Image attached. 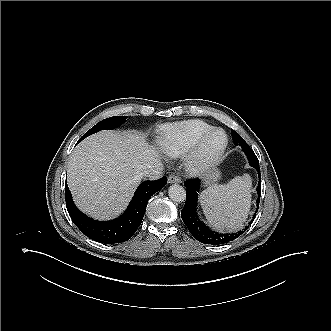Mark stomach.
<instances>
[{
  "instance_id": "1",
  "label": "stomach",
  "mask_w": 331,
  "mask_h": 331,
  "mask_svg": "<svg viewBox=\"0 0 331 331\" xmlns=\"http://www.w3.org/2000/svg\"><path fill=\"white\" fill-rule=\"evenodd\" d=\"M220 174L217 170H210L204 175V187L206 186H212L214 184H217L216 182L219 180Z\"/></svg>"
}]
</instances>
